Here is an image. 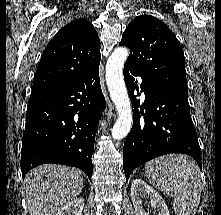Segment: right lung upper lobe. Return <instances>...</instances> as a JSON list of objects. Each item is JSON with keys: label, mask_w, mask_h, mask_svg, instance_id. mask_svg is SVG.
<instances>
[{"label": "right lung upper lobe", "mask_w": 221, "mask_h": 215, "mask_svg": "<svg viewBox=\"0 0 221 215\" xmlns=\"http://www.w3.org/2000/svg\"><path fill=\"white\" fill-rule=\"evenodd\" d=\"M100 40L93 25L79 18L65 25L45 48L32 94L48 91L100 64Z\"/></svg>", "instance_id": "1"}]
</instances>
